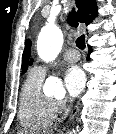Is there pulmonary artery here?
Returning a JSON list of instances; mask_svg holds the SVG:
<instances>
[{
    "label": "pulmonary artery",
    "instance_id": "pulmonary-artery-1",
    "mask_svg": "<svg viewBox=\"0 0 116 134\" xmlns=\"http://www.w3.org/2000/svg\"><path fill=\"white\" fill-rule=\"evenodd\" d=\"M63 58L67 62H77L80 59V54L75 49H68L63 53ZM39 72L45 74L47 67L45 65H37L34 67Z\"/></svg>",
    "mask_w": 116,
    "mask_h": 134
}]
</instances>
